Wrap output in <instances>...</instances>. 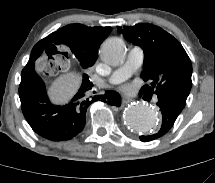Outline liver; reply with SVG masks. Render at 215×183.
Instances as JSON below:
<instances>
[{
  "label": "liver",
  "mask_w": 215,
  "mask_h": 183,
  "mask_svg": "<svg viewBox=\"0 0 215 183\" xmlns=\"http://www.w3.org/2000/svg\"><path fill=\"white\" fill-rule=\"evenodd\" d=\"M67 71V70H65ZM80 85V76L75 72L59 76L51 85L49 95L53 102L64 103L75 94Z\"/></svg>",
  "instance_id": "6515ba94"
}]
</instances>
